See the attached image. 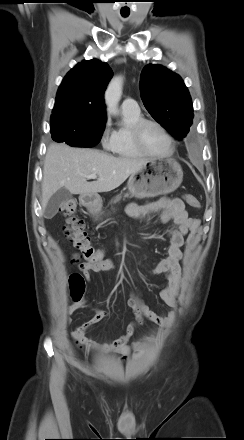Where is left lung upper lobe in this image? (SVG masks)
<instances>
[{"label": "left lung upper lobe", "instance_id": "obj_1", "mask_svg": "<svg viewBox=\"0 0 244 440\" xmlns=\"http://www.w3.org/2000/svg\"><path fill=\"white\" fill-rule=\"evenodd\" d=\"M141 98L147 111L177 138L190 131L193 106L181 77L161 65H147L140 76Z\"/></svg>", "mask_w": 244, "mask_h": 440}]
</instances>
